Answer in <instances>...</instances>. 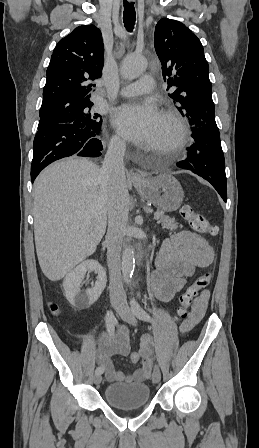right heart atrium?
<instances>
[{
	"label": "right heart atrium",
	"instance_id": "d8ad5b80",
	"mask_svg": "<svg viewBox=\"0 0 259 448\" xmlns=\"http://www.w3.org/2000/svg\"><path fill=\"white\" fill-rule=\"evenodd\" d=\"M112 144L115 148H122L125 146V142L117 135L113 137Z\"/></svg>",
	"mask_w": 259,
	"mask_h": 448
}]
</instances>
